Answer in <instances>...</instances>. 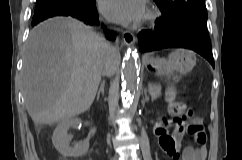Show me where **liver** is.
Returning a JSON list of instances; mask_svg holds the SVG:
<instances>
[{
  "mask_svg": "<svg viewBox=\"0 0 242 160\" xmlns=\"http://www.w3.org/2000/svg\"><path fill=\"white\" fill-rule=\"evenodd\" d=\"M105 44L90 27L71 17L49 19L30 32L22 85L35 124L51 125L90 108L101 80L98 68H104L109 58Z\"/></svg>",
  "mask_w": 242,
  "mask_h": 160,
  "instance_id": "1",
  "label": "liver"
}]
</instances>
